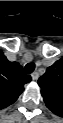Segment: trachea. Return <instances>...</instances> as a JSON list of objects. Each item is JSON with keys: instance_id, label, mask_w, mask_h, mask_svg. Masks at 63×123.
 Returning <instances> with one entry per match:
<instances>
[{"instance_id": "1", "label": "trachea", "mask_w": 63, "mask_h": 123, "mask_svg": "<svg viewBox=\"0 0 63 123\" xmlns=\"http://www.w3.org/2000/svg\"><path fill=\"white\" fill-rule=\"evenodd\" d=\"M35 69V65L33 63H28L25 65V70L28 73H31L32 71H34Z\"/></svg>"}]
</instances>
